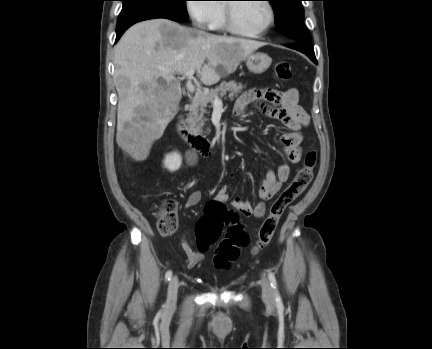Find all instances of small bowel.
Returning <instances> with one entry per match:
<instances>
[{
    "label": "small bowel",
    "mask_w": 432,
    "mask_h": 349,
    "mask_svg": "<svg viewBox=\"0 0 432 349\" xmlns=\"http://www.w3.org/2000/svg\"><path fill=\"white\" fill-rule=\"evenodd\" d=\"M254 106L255 110L262 114L277 119L282 122L288 132L281 135L279 143L286 161L269 169L262 180L258 190L259 202L255 205L247 200L236 197L232 204L235 209L244 217L260 218L265 214V203L273 198L281 189L282 185L290 177V165L300 162L302 157V128L310 123V116L306 110L299 105V94L295 88L279 91L272 88L249 89L239 96L236 101L234 111L240 115L244 110ZM196 158L190 156L189 164H194ZM202 194L199 190L191 192L188 196L185 207L190 209L201 201ZM229 199L227 186L221 187L216 194L214 201L224 204ZM182 250L187 257L188 267L193 268L203 260V254L194 250L189 244L183 243Z\"/></svg>",
    "instance_id": "obj_1"
}]
</instances>
